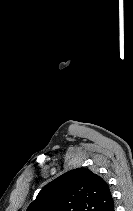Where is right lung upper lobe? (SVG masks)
<instances>
[{"label":"right lung upper lobe","mask_w":133,"mask_h":211,"mask_svg":"<svg viewBox=\"0 0 133 211\" xmlns=\"http://www.w3.org/2000/svg\"><path fill=\"white\" fill-rule=\"evenodd\" d=\"M108 184L86 168L66 172L39 192L27 211H113Z\"/></svg>","instance_id":"cb5924a9"}]
</instances>
